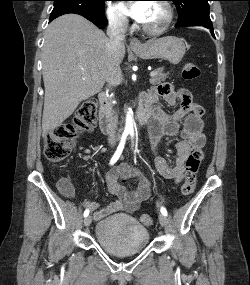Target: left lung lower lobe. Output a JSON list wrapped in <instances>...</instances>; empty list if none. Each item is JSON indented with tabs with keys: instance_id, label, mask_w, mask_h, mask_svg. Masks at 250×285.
Instances as JSON below:
<instances>
[{
	"instance_id": "1",
	"label": "left lung lower lobe",
	"mask_w": 250,
	"mask_h": 285,
	"mask_svg": "<svg viewBox=\"0 0 250 285\" xmlns=\"http://www.w3.org/2000/svg\"><path fill=\"white\" fill-rule=\"evenodd\" d=\"M191 26H201L204 28H207L210 30L211 34L214 36V32H213V26H209V25H202V24H195V25H191ZM177 27V26H176Z\"/></svg>"
}]
</instances>
